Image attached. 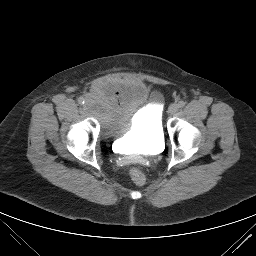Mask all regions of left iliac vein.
<instances>
[{"label": "left iliac vein", "mask_w": 256, "mask_h": 256, "mask_svg": "<svg viewBox=\"0 0 256 256\" xmlns=\"http://www.w3.org/2000/svg\"><path fill=\"white\" fill-rule=\"evenodd\" d=\"M179 106L177 104H171L168 108V113L173 115L178 111Z\"/></svg>", "instance_id": "obj_1"}]
</instances>
